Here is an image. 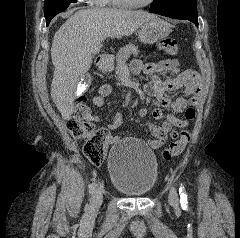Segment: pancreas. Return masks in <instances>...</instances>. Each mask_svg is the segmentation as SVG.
Listing matches in <instances>:
<instances>
[{
    "label": "pancreas",
    "mask_w": 240,
    "mask_h": 238,
    "mask_svg": "<svg viewBox=\"0 0 240 238\" xmlns=\"http://www.w3.org/2000/svg\"><path fill=\"white\" fill-rule=\"evenodd\" d=\"M131 53H133L134 55H138V49L133 44H128L119 50L116 56L117 66L115 68L117 80H120L121 71L126 66V61L130 57Z\"/></svg>",
    "instance_id": "obj_1"
}]
</instances>
